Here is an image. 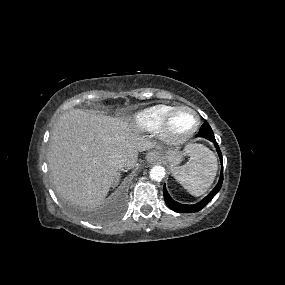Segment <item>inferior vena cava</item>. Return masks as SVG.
I'll use <instances>...</instances> for the list:
<instances>
[{
    "label": "inferior vena cava",
    "instance_id": "1",
    "mask_svg": "<svg viewBox=\"0 0 285 285\" xmlns=\"http://www.w3.org/2000/svg\"><path fill=\"white\" fill-rule=\"evenodd\" d=\"M113 162L118 168L125 167V160L121 156H115Z\"/></svg>",
    "mask_w": 285,
    "mask_h": 285
}]
</instances>
